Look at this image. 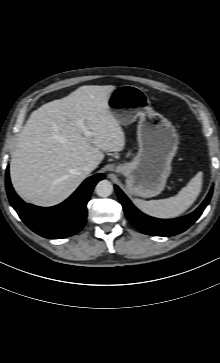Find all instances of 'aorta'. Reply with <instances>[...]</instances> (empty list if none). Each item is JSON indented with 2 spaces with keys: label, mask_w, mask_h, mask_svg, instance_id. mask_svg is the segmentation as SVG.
Returning <instances> with one entry per match:
<instances>
[{
  "label": "aorta",
  "mask_w": 220,
  "mask_h": 363,
  "mask_svg": "<svg viewBox=\"0 0 220 363\" xmlns=\"http://www.w3.org/2000/svg\"><path fill=\"white\" fill-rule=\"evenodd\" d=\"M113 185L110 181L104 179L97 183L95 192L100 197H108L112 194Z\"/></svg>",
  "instance_id": "762f6f07"
}]
</instances>
